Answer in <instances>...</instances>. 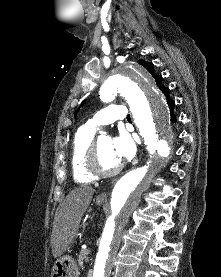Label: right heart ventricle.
<instances>
[{
  "label": "right heart ventricle",
  "mask_w": 221,
  "mask_h": 277,
  "mask_svg": "<svg viewBox=\"0 0 221 277\" xmlns=\"http://www.w3.org/2000/svg\"><path fill=\"white\" fill-rule=\"evenodd\" d=\"M95 130L87 126L81 127L75 134L71 150V168L75 182L91 183L95 180L86 169V157L94 140Z\"/></svg>",
  "instance_id": "obj_1"
}]
</instances>
